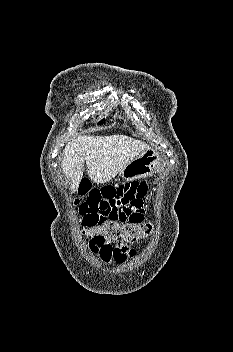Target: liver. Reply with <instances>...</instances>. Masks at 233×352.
<instances>
[{
  "instance_id": "liver-1",
  "label": "liver",
  "mask_w": 233,
  "mask_h": 352,
  "mask_svg": "<svg viewBox=\"0 0 233 352\" xmlns=\"http://www.w3.org/2000/svg\"><path fill=\"white\" fill-rule=\"evenodd\" d=\"M149 146L125 135L79 136L63 150V173L71 179L74 193L84 172V162L90 179L97 184L112 180L129 162Z\"/></svg>"
}]
</instances>
